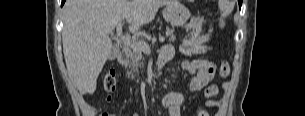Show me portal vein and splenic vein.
Returning a JSON list of instances; mask_svg holds the SVG:
<instances>
[{
  "mask_svg": "<svg viewBox=\"0 0 305 116\" xmlns=\"http://www.w3.org/2000/svg\"><path fill=\"white\" fill-rule=\"evenodd\" d=\"M116 29H117V36L123 41V43L127 47H130L131 49L141 50L144 53H150V47L146 42L144 41L132 42L131 38L122 35V23H117ZM159 41L164 42L165 38L163 36H160Z\"/></svg>",
  "mask_w": 305,
  "mask_h": 116,
  "instance_id": "obj_1",
  "label": "portal vein and splenic vein"
}]
</instances>
